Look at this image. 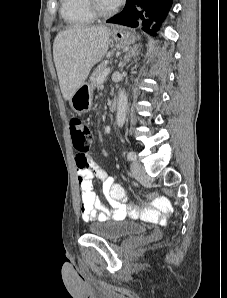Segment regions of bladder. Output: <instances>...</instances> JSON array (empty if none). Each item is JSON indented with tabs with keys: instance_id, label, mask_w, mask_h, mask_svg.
I'll use <instances>...</instances> for the list:
<instances>
[{
	"instance_id": "1",
	"label": "bladder",
	"mask_w": 227,
	"mask_h": 298,
	"mask_svg": "<svg viewBox=\"0 0 227 298\" xmlns=\"http://www.w3.org/2000/svg\"><path fill=\"white\" fill-rule=\"evenodd\" d=\"M146 229L144 225L129 220L95 221L88 226L89 233L107 240L138 235L144 233Z\"/></svg>"
}]
</instances>
